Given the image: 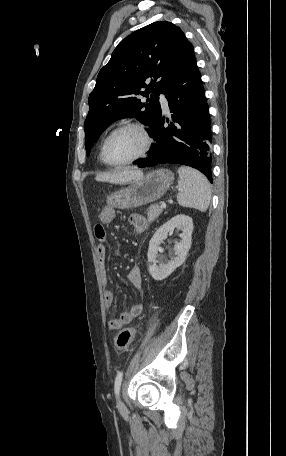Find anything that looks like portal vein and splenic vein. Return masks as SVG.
<instances>
[{
	"label": "portal vein and splenic vein",
	"mask_w": 286,
	"mask_h": 456,
	"mask_svg": "<svg viewBox=\"0 0 286 456\" xmlns=\"http://www.w3.org/2000/svg\"><path fill=\"white\" fill-rule=\"evenodd\" d=\"M161 208H165L166 207V203L165 202H162L161 205H160Z\"/></svg>",
	"instance_id": "18ae733b"
}]
</instances>
